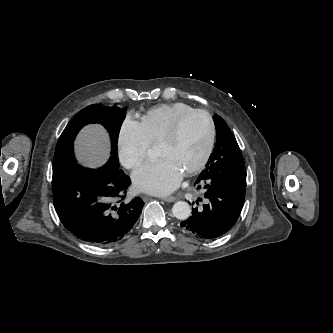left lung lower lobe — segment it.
<instances>
[{
    "label": "left lung lower lobe",
    "mask_w": 333,
    "mask_h": 333,
    "mask_svg": "<svg viewBox=\"0 0 333 333\" xmlns=\"http://www.w3.org/2000/svg\"><path fill=\"white\" fill-rule=\"evenodd\" d=\"M195 185L205 199L192 209V216L181 222L184 230L202 239H214L228 232L241 213L246 191V171L221 174L202 171ZM194 204V202H193Z\"/></svg>",
    "instance_id": "left-lung-lower-lobe-1"
}]
</instances>
